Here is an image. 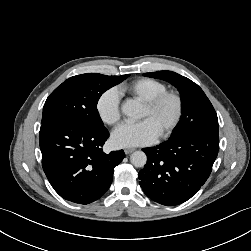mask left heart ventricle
<instances>
[{"label":"left heart ventricle","instance_id":"left-heart-ventricle-1","mask_svg":"<svg viewBox=\"0 0 251 251\" xmlns=\"http://www.w3.org/2000/svg\"><path fill=\"white\" fill-rule=\"evenodd\" d=\"M175 106L172 100H166L157 110L150 111L143 107L140 118L150 119L154 123L158 133H160L173 117Z\"/></svg>","mask_w":251,"mask_h":251}]
</instances>
